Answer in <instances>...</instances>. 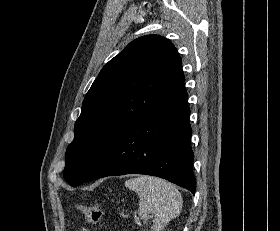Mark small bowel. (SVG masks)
Returning a JSON list of instances; mask_svg holds the SVG:
<instances>
[{"label": "small bowel", "mask_w": 280, "mask_h": 231, "mask_svg": "<svg viewBox=\"0 0 280 231\" xmlns=\"http://www.w3.org/2000/svg\"><path fill=\"white\" fill-rule=\"evenodd\" d=\"M80 231H89V230H88V228H86V227H82V228L80 229Z\"/></svg>", "instance_id": "obj_1"}]
</instances>
